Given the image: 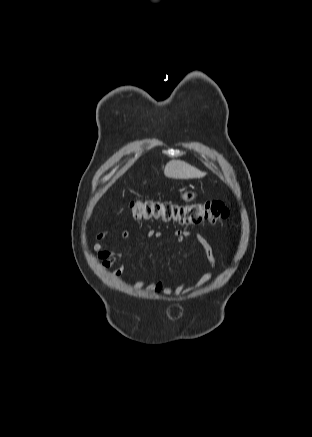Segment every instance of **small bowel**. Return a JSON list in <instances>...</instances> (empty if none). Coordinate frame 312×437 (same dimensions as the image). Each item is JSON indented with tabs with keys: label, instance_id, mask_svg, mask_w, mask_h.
Instances as JSON below:
<instances>
[{
	"label": "small bowel",
	"instance_id": "obj_1",
	"mask_svg": "<svg viewBox=\"0 0 312 437\" xmlns=\"http://www.w3.org/2000/svg\"><path fill=\"white\" fill-rule=\"evenodd\" d=\"M112 233H116L118 234L121 238L126 239V240H130L133 237L131 236V234L128 231L125 230H121V231H102L100 233L97 234L96 236V243L94 244V251L97 255V257L101 260V267L103 269H109L111 268L113 265H115L121 258H122V253L120 251L111 249L109 247V245L103 243L102 241L110 234ZM175 237L177 238V241L182 243L185 240L189 239L192 237V234L189 231H181V230H177L174 232ZM162 236V233L160 231H156V230H150L145 234V237L147 238H154V239H158ZM195 238L197 240V242L203 247V249L205 250L209 262H210V269L208 272H206L200 279L199 281L195 284V286L193 287H188L185 284L174 287V288H164L161 282H156L150 285H147L144 287L143 282H138L136 284V288H145L146 290L155 293V294H160V293H164V294H168V295H179V294H184L192 289L198 288L202 285H204L208 279L211 276V270L213 268V260H212V249L211 246L209 245L208 241L201 235V234H196ZM123 265H120L117 269L114 270L113 272V276L114 277H119L122 273H123Z\"/></svg>",
	"mask_w": 312,
	"mask_h": 437
}]
</instances>
